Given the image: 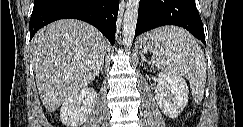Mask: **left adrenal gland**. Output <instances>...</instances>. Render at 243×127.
<instances>
[{
	"mask_svg": "<svg viewBox=\"0 0 243 127\" xmlns=\"http://www.w3.org/2000/svg\"><path fill=\"white\" fill-rule=\"evenodd\" d=\"M141 61L147 62V59L145 58V55L143 52H141Z\"/></svg>",
	"mask_w": 243,
	"mask_h": 127,
	"instance_id": "left-adrenal-gland-1",
	"label": "left adrenal gland"
}]
</instances>
